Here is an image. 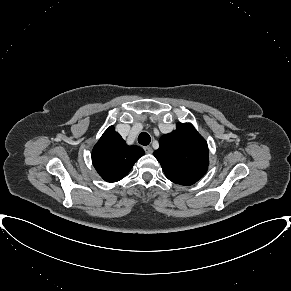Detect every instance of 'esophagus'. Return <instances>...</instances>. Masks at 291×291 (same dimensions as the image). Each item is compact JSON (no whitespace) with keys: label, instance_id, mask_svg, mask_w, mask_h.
<instances>
[{"label":"esophagus","instance_id":"1","mask_svg":"<svg viewBox=\"0 0 291 291\" xmlns=\"http://www.w3.org/2000/svg\"><path fill=\"white\" fill-rule=\"evenodd\" d=\"M144 150H145V152L148 153V154H151V153L153 152V149H152L151 146H145V147H144Z\"/></svg>","mask_w":291,"mask_h":291}]
</instances>
